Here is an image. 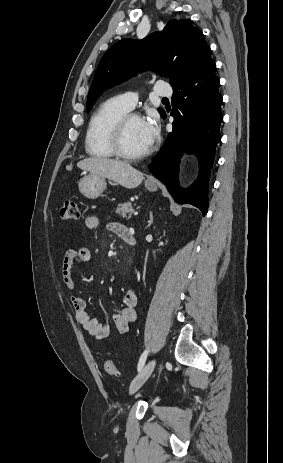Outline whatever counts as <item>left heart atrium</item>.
I'll return each mask as SVG.
<instances>
[{"label":"left heart atrium","mask_w":283,"mask_h":463,"mask_svg":"<svg viewBox=\"0 0 283 463\" xmlns=\"http://www.w3.org/2000/svg\"><path fill=\"white\" fill-rule=\"evenodd\" d=\"M143 127L146 135V141L149 147H151L159 137V127L154 119H148L143 121Z\"/></svg>","instance_id":"left-heart-atrium-1"}]
</instances>
